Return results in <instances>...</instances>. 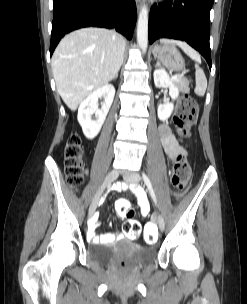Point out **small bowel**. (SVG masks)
I'll return each mask as SVG.
<instances>
[{"label":"small bowel","instance_id":"small-bowel-1","mask_svg":"<svg viewBox=\"0 0 247 304\" xmlns=\"http://www.w3.org/2000/svg\"><path fill=\"white\" fill-rule=\"evenodd\" d=\"M159 134L166 156L170 161L172 162L175 161L177 156L183 154V152L180 149L178 142L174 137V135L172 134L171 129L167 123H163L162 125H160ZM122 189L130 190L136 195L140 207V213L142 216H146L150 211V204L144 190L136 188L134 186H128L125 184L122 185ZM98 227H99V222L97 219H95L90 229L87 232V238L89 241L93 243H100V242L112 241L116 238L114 234H109V233L97 235L96 230ZM118 237L122 238L123 236L118 235Z\"/></svg>","mask_w":247,"mask_h":304}]
</instances>
